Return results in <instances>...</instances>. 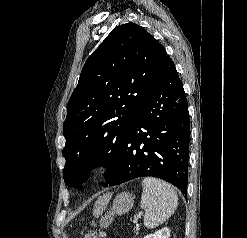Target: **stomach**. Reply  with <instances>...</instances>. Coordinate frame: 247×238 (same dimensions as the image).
Returning a JSON list of instances; mask_svg holds the SVG:
<instances>
[{"mask_svg":"<svg viewBox=\"0 0 247 238\" xmlns=\"http://www.w3.org/2000/svg\"><path fill=\"white\" fill-rule=\"evenodd\" d=\"M134 204V197L129 192H122L118 194L114 201L113 206L105 216L100 219V227L107 228L117 215H123L131 210Z\"/></svg>","mask_w":247,"mask_h":238,"instance_id":"1","label":"stomach"}]
</instances>
